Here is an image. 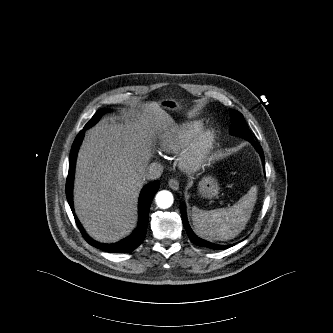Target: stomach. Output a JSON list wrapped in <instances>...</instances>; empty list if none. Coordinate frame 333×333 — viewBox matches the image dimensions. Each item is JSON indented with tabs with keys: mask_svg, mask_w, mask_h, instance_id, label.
I'll return each mask as SVG.
<instances>
[{
	"mask_svg": "<svg viewBox=\"0 0 333 333\" xmlns=\"http://www.w3.org/2000/svg\"><path fill=\"white\" fill-rule=\"evenodd\" d=\"M159 104L172 111L181 109V104L174 99H166L159 102ZM219 184L217 180L211 176L204 177L198 184V194L203 198H213L219 193Z\"/></svg>",
	"mask_w": 333,
	"mask_h": 333,
	"instance_id": "stomach-1",
	"label": "stomach"
}]
</instances>
